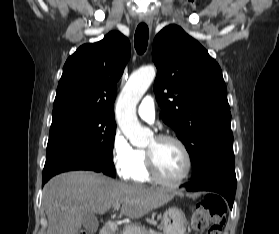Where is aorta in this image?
Segmentation results:
<instances>
[{"instance_id": "762f6f07", "label": "aorta", "mask_w": 279, "mask_h": 234, "mask_svg": "<svg viewBox=\"0 0 279 234\" xmlns=\"http://www.w3.org/2000/svg\"><path fill=\"white\" fill-rule=\"evenodd\" d=\"M156 75L153 66L132 73L122 90L116 107L117 122L130 142L138 147L147 145L151 131L143 128L136 115V106Z\"/></svg>"}]
</instances>
